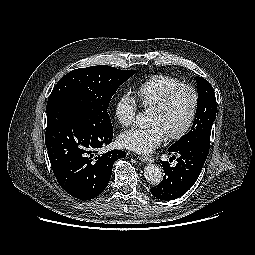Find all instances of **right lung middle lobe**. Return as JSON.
<instances>
[{
    "instance_id": "dd1d6c3e",
    "label": "right lung middle lobe",
    "mask_w": 255,
    "mask_h": 255,
    "mask_svg": "<svg viewBox=\"0 0 255 255\" xmlns=\"http://www.w3.org/2000/svg\"><path fill=\"white\" fill-rule=\"evenodd\" d=\"M135 73L107 65L75 69L63 76L54 86L47 111L59 103L71 104L84 111L98 128L113 129L107 112L110 100L122 85Z\"/></svg>"
}]
</instances>
